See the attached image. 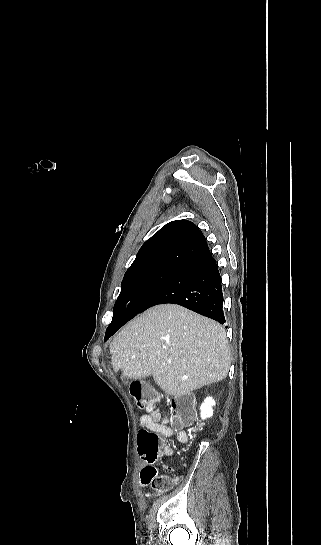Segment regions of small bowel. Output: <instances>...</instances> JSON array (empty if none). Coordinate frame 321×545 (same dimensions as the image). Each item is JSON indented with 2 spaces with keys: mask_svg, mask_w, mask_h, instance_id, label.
Masks as SVG:
<instances>
[{
  "mask_svg": "<svg viewBox=\"0 0 321 545\" xmlns=\"http://www.w3.org/2000/svg\"><path fill=\"white\" fill-rule=\"evenodd\" d=\"M168 423H169L168 417L164 414H161L160 411H155L149 415H143L141 416L139 420V424L141 428H147L151 430L152 432L157 433L163 438L175 436L178 438L180 442H186L187 441L186 432L181 429L170 427L168 426ZM160 454L170 456L172 454L171 447L168 444L163 443ZM145 460H146L145 461L146 464L141 469L140 477H139V484L141 486H145L149 484L150 476L157 474V470L155 468V460H147V459Z\"/></svg>",
  "mask_w": 321,
  "mask_h": 545,
  "instance_id": "small-bowel-1",
  "label": "small bowel"
}]
</instances>
